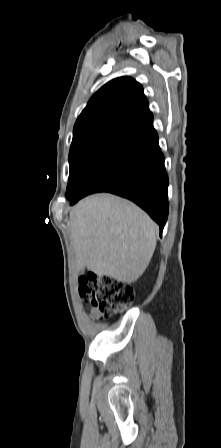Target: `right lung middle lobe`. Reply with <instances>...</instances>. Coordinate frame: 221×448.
I'll return each instance as SVG.
<instances>
[{
    "instance_id": "1",
    "label": "right lung middle lobe",
    "mask_w": 221,
    "mask_h": 448,
    "mask_svg": "<svg viewBox=\"0 0 221 448\" xmlns=\"http://www.w3.org/2000/svg\"><path fill=\"white\" fill-rule=\"evenodd\" d=\"M115 145L97 143L70 150V174L66 190V197L69 200L77 196L84 182Z\"/></svg>"
}]
</instances>
